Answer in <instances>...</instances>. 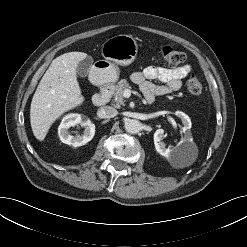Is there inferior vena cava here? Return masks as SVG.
<instances>
[{"label": "inferior vena cava", "instance_id": "inferior-vena-cava-1", "mask_svg": "<svg viewBox=\"0 0 247 247\" xmlns=\"http://www.w3.org/2000/svg\"><path fill=\"white\" fill-rule=\"evenodd\" d=\"M99 114L104 118H113L118 114V111L111 106H104L99 109Z\"/></svg>", "mask_w": 247, "mask_h": 247}]
</instances>
